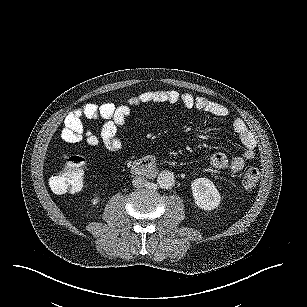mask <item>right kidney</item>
Listing matches in <instances>:
<instances>
[{
	"mask_svg": "<svg viewBox=\"0 0 307 307\" xmlns=\"http://www.w3.org/2000/svg\"><path fill=\"white\" fill-rule=\"evenodd\" d=\"M99 201H100V199H99V197H94L92 200H91V203L93 204V205H97L98 203H99Z\"/></svg>",
	"mask_w": 307,
	"mask_h": 307,
	"instance_id": "ca27d5eb",
	"label": "right kidney"
}]
</instances>
